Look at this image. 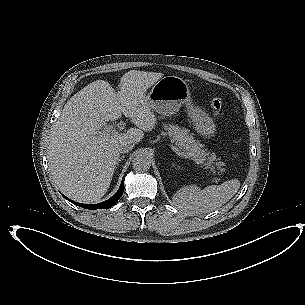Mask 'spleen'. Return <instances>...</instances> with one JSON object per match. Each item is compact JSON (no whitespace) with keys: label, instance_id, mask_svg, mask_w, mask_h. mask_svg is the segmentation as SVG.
<instances>
[{"label":"spleen","instance_id":"spleen-1","mask_svg":"<svg viewBox=\"0 0 305 305\" xmlns=\"http://www.w3.org/2000/svg\"><path fill=\"white\" fill-rule=\"evenodd\" d=\"M234 180H229L221 185H211L200 190L196 185L182 187L174 194L175 205L191 214L209 213L231 198L230 186Z\"/></svg>","mask_w":305,"mask_h":305}]
</instances>
